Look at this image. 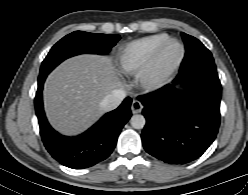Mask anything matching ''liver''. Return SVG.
I'll list each match as a JSON object with an SVG mask.
<instances>
[{"instance_id":"6515ba94","label":"liver","mask_w":248,"mask_h":195,"mask_svg":"<svg viewBox=\"0 0 248 195\" xmlns=\"http://www.w3.org/2000/svg\"><path fill=\"white\" fill-rule=\"evenodd\" d=\"M121 86L120 71L110 57L85 54L67 59L44 86L48 120L63 134H79L103 113L102 99Z\"/></svg>"}]
</instances>
